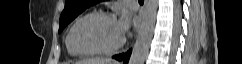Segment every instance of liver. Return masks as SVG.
I'll return each mask as SVG.
<instances>
[{"instance_id":"obj_1","label":"liver","mask_w":242,"mask_h":64,"mask_svg":"<svg viewBox=\"0 0 242 64\" xmlns=\"http://www.w3.org/2000/svg\"><path fill=\"white\" fill-rule=\"evenodd\" d=\"M79 64H118L116 61L105 58H92L80 61Z\"/></svg>"}]
</instances>
